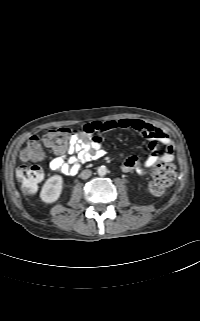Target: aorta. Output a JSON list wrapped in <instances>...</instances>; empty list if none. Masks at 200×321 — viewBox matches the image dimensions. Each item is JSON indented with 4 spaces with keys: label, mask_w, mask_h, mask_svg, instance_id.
Segmentation results:
<instances>
[{
    "label": "aorta",
    "mask_w": 200,
    "mask_h": 321,
    "mask_svg": "<svg viewBox=\"0 0 200 321\" xmlns=\"http://www.w3.org/2000/svg\"><path fill=\"white\" fill-rule=\"evenodd\" d=\"M97 172L100 176H104L107 174V168L105 166H100L98 167Z\"/></svg>",
    "instance_id": "obj_1"
}]
</instances>
